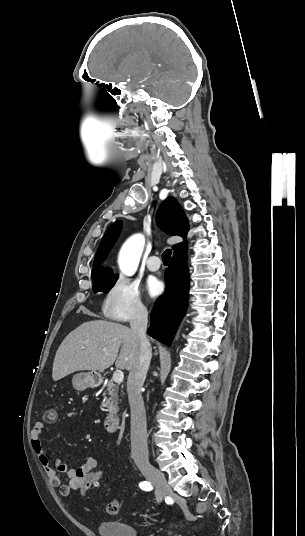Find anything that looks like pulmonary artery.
I'll return each mask as SVG.
<instances>
[{
  "mask_svg": "<svg viewBox=\"0 0 305 536\" xmlns=\"http://www.w3.org/2000/svg\"><path fill=\"white\" fill-rule=\"evenodd\" d=\"M161 257L157 253H153L150 255L149 259L147 260V267L150 271H157L160 269V262Z\"/></svg>",
  "mask_w": 305,
  "mask_h": 536,
  "instance_id": "pulmonary-artery-1",
  "label": "pulmonary artery"
}]
</instances>
